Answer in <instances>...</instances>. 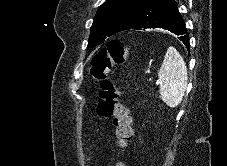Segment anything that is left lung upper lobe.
Segmentation results:
<instances>
[{
  "mask_svg": "<svg viewBox=\"0 0 227 166\" xmlns=\"http://www.w3.org/2000/svg\"><path fill=\"white\" fill-rule=\"evenodd\" d=\"M147 0H107L94 17L88 47L103 43L108 37L132 27Z\"/></svg>",
  "mask_w": 227,
  "mask_h": 166,
  "instance_id": "obj_1",
  "label": "left lung upper lobe"
}]
</instances>
